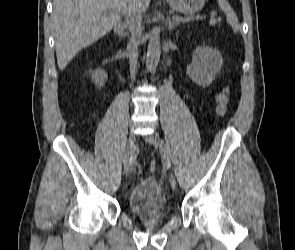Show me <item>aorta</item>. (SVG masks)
Segmentation results:
<instances>
[{
  "label": "aorta",
  "mask_w": 295,
  "mask_h": 250,
  "mask_svg": "<svg viewBox=\"0 0 295 250\" xmlns=\"http://www.w3.org/2000/svg\"><path fill=\"white\" fill-rule=\"evenodd\" d=\"M161 53L160 36L159 32L155 29L152 30L147 55H146V67L148 72H152L157 68Z\"/></svg>",
  "instance_id": "762f6f07"
}]
</instances>
